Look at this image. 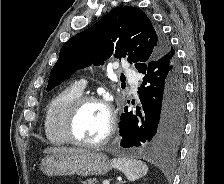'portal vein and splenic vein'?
<instances>
[{
    "label": "portal vein and splenic vein",
    "mask_w": 224,
    "mask_h": 184,
    "mask_svg": "<svg viewBox=\"0 0 224 184\" xmlns=\"http://www.w3.org/2000/svg\"><path fill=\"white\" fill-rule=\"evenodd\" d=\"M102 184H110L109 180H104Z\"/></svg>",
    "instance_id": "18ae733b"
}]
</instances>
